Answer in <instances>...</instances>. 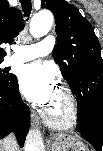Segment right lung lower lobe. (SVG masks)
<instances>
[{
  "mask_svg": "<svg viewBox=\"0 0 103 151\" xmlns=\"http://www.w3.org/2000/svg\"><path fill=\"white\" fill-rule=\"evenodd\" d=\"M30 126V110L21 99L18 84L10 89L0 87V138L10 132L23 146Z\"/></svg>",
  "mask_w": 103,
  "mask_h": 151,
  "instance_id": "1",
  "label": "right lung lower lobe"
}]
</instances>
